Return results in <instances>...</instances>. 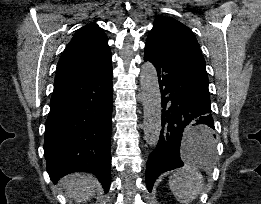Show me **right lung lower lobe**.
Masks as SVG:
<instances>
[{"label": "right lung lower lobe", "mask_w": 261, "mask_h": 204, "mask_svg": "<svg viewBox=\"0 0 261 204\" xmlns=\"http://www.w3.org/2000/svg\"><path fill=\"white\" fill-rule=\"evenodd\" d=\"M112 97V61L55 80L44 142L47 172L54 183L69 173L86 171L108 192Z\"/></svg>", "instance_id": "1"}]
</instances>
